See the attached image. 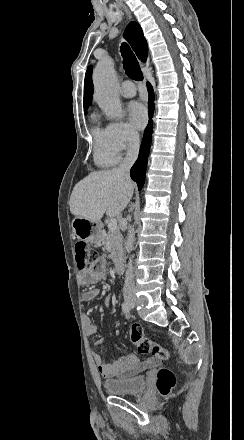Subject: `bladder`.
<instances>
[{
  "mask_svg": "<svg viewBox=\"0 0 244 440\" xmlns=\"http://www.w3.org/2000/svg\"><path fill=\"white\" fill-rule=\"evenodd\" d=\"M104 386L109 394H132L145 389V378L133 377L123 381H108L104 382Z\"/></svg>",
  "mask_w": 244,
  "mask_h": 440,
  "instance_id": "obj_1",
  "label": "bladder"
}]
</instances>
